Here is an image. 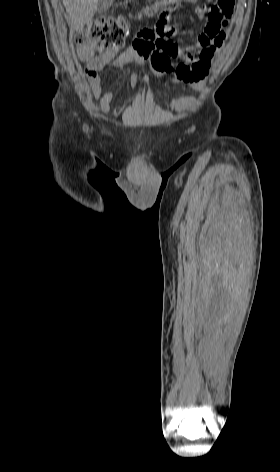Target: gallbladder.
<instances>
[{"mask_svg":"<svg viewBox=\"0 0 280 472\" xmlns=\"http://www.w3.org/2000/svg\"><path fill=\"white\" fill-rule=\"evenodd\" d=\"M114 0H98V8L97 11L99 13L107 11L111 5L113 4Z\"/></svg>","mask_w":280,"mask_h":472,"instance_id":"obj_1","label":"gallbladder"}]
</instances>
